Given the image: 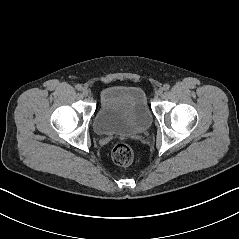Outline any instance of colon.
<instances>
[{
	"label": "colon",
	"instance_id": "obj_1",
	"mask_svg": "<svg viewBox=\"0 0 239 239\" xmlns=\"http://www.w3.org/2000/svg\"><path fill=\"white\" fill-rule=\"evenodd\" d=\"M111 156L113 161L119 166H129L134 160L132 148L122 142H117L113 145Z\"/></svg>",
	"mask_w": 239,
	"mask_h": 239
}]
</instances>
